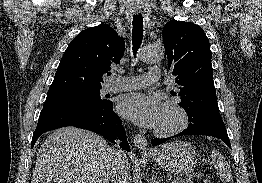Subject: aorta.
<instances>
[{
    "label": "aorta",
    "mask_w": 262,
    "mask_h": 183,
    "mask_svg": "<svg viewBox=\"0 0 262 183\" xmlns=\"http://www.w3.org/2000/svg\"><path fill=\"white\" fill-rule=\"evenodd\" d=\"M139 57L144 63H158L163 59L164 52L161 47L148 45L141 50Z\"/></svg>",
    "instance_id": "obj_1"
}]
</instances>
